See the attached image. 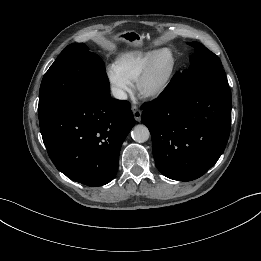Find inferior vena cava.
<instances>
[{
	"label": "inferior vena cava",
	"mask_w": 261,
	"mask_h": 261,
	"mask_svg": "<svg viewBox=\"0 0 261 261\" xmlns=\"http://www.w3.org/2000/svg\"><path fill=\"white\" fill-rule=\"evenodd\" d=\"M111 91H112V94H113V96H114L115 98L120 99V100H125V99H127V94H126V92H124L122 89L117 88V87H113V88L111 89Z\"/></svg>",
	"instance_id": "inferior-vena-cava-1"
}]
</instances>
